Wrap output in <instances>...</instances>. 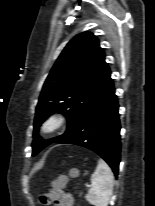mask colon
I'll use <instances>...</instances> for the list:
<instances>
[{
	"label": "colon",
	"mask_w": 155,
	"mask_h": 206,
	"mask_svg": "<svg viewBox=\"0 0 155 206\" xmlns=\"http://www.w3.org/2000/svg\"><path fill=\"white\" fill-rule=\"evenodd\" d=\"M65 182H66V177L60 176L59 178H57L52 182V186L56 188H62Z\"/></svg>",
	"instance_id": "1"
}]
</instances>
